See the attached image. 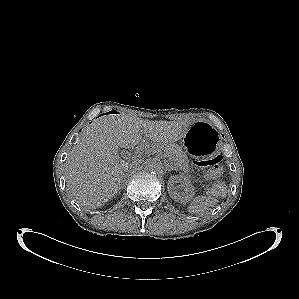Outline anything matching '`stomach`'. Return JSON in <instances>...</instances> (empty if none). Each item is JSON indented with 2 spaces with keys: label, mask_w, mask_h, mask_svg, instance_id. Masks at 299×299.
Wrapping results in <instances>:
<instances>
[{
  "label": "stomach",
  "mask_w": 299,
  "mask_h": 299,
  "mask_svg": "<svg viewBox=\"0 0 299 299\" xmlns=\"http://www.w3.org/2000/svg\"><path fill=\"white\" fill-rule=\"evenodd\" d=\"M219 134L206 120L193 123L184 135L187 154L196 161L211 159L218 150Z\"/></svg>",
  "instance_id": "1"
}]
</instances>
